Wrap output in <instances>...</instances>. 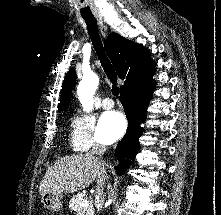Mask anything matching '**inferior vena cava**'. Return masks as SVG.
Instances as JSON below:
<instances>
[{"mask_svg":"<svg viewBox=\"0 0 221 215\" xmlns=\"http://www.w3.org/2000/svg\"><path fill=\"white\" fill-rule=\"evenodd\" d=\"M106 151V146L99 142H95L90 151V155H96L97 158L101 157ZM103 169V168H102ZM104 190V180L102 177H99L97 180V197L102 198Z\"/></svg>","mask_w":221,"mask_h":215,"instance_id":"602c4592","label":"inferior vena cava"}]
</instances>
